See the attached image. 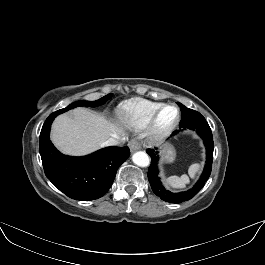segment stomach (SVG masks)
<instances>
[{"instance_id":"1","label":"stomach","mask_w":265,"mask_h":265,"mask_svg":"<svg viewBox=\"0 0 265 265\" xmlns=\"http://www.w3.org/2000/svg\"><path fill=\"white\" fill-rule=\"evenodd\" d=\"M175 149L173 148L172 145L170 144H166L163 147V151H162V157L163 160L167 163L173 162L175 159Z\"/></svg>"}]
</instances>
